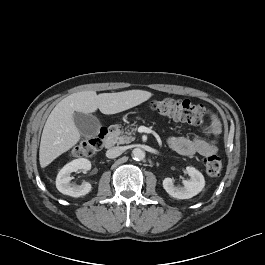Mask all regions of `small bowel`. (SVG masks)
I'll use <instances>...</instances> for the list:
<instances>
[{
  "instance_id": "c3829d8e",
  "label": "small bowel",
  "mask_w": 265,
  "mask_h": 265,
  "mask_svg": "<svg viewBox=\"0 0 265 265\" xmlns=\"http://www.w3.org/2000/svg\"><path fill=\"white\" fill-rule=\"evenodd\" d=\"M210 117L211 122L205 128V134L209 137L215 138L221 131V124L216 114L210 113ZM168 146L172 151L184 156L199 154L201 156L208 157L217 151L215 139L206 140L201 137H171L168 139Z\"/></svg>"
}]
</instances>
